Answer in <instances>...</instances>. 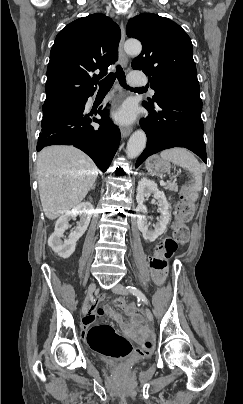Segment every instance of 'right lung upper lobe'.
Returning <instances> with one entry per match:
<instances>
[{"mask_svg":"<svg viewBox=\"0 0 243 404\" xmlns=\"http://www.w3.org/2000/svg\"><path fill=\"white\" fill-rule=\"evenodd\" d=\"M120 37L119 26L101 13L79 18L62 29L50 52L44 104L93 95L94 82L117 60Z\"/></svg>","mask_w":243,"mask_h":404,"instance_id":"1","label":"right lung upper lobe"}]
</instances>
